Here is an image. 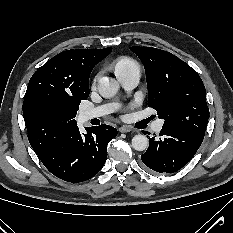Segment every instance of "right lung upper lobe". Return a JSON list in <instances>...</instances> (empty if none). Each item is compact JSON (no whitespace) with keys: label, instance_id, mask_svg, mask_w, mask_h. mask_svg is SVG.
<instances>
[{"label":"right lung upper lobe","instance_id":"cb5924a9","mask_svg":"<svg viewBox=\"0 0 233 233\" xmlns=\"http://www.w3.org/2000/svg\"><path fill=\"white\" fill-rule=\"evenodd\" d=\"M111 50L110 47L66 50L33 74L25 93L23 116L29 142L37 155L57 137L77 126L75 119L51 118L48 109H67L87 99L90 73Z\"/></svg>","mask_w":233,"mask_h":233}]
</instances>
